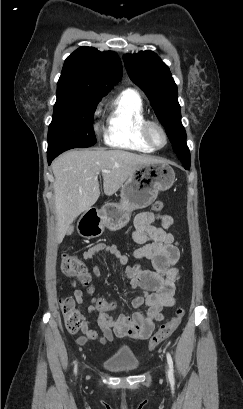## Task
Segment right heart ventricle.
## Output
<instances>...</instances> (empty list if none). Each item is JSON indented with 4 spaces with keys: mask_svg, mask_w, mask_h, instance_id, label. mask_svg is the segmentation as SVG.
<instances>
[{
    "mask_svg": "<svg viewBox=\"0 0 243 409\" xmlns=\"http://www.w3.org/2000/svg\"><path fill=\"white\" fill-rule=\"evenodd\" d=\"M108 110L106 144L141 153L155 151L143 135L146 115L137 91L133 89L122 91L109 103Z\"/></svg>",
    "mask_w": 243,
    "mask_h": 409,
    "instance_id": "1",
    "label": "right heart ventricle"
}]
</instances>
